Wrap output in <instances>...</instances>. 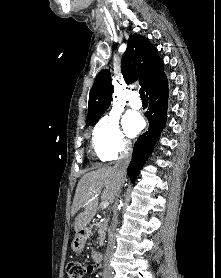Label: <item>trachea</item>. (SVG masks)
Wrapping results in <instances>:
<instances>
[{"label":"trachea","mask_w":221,"mask_h":278,"mask_svg":"<svg viewBox=\"0 0 221 278\" xmlns=\"http://www.w3.org/2000/svg\"><path fill=\"white\" fill-rule=\"evenodd\" d=\"M139 94H140V97H141L142 100H147V96L145 95L143 89L139 90Z\"/></svg>","instance_id":"1"}]
</instances>
